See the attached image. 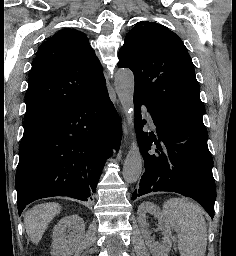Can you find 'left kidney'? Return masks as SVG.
Wrapping results in <instances>:
<instances>
[{
    "label": "left kidney",
    "mask_w": 236,
    "mask_h": 256,
    "mask_svg": "<svg viewBox=\"0 0 236 256\" xmlns=\"http://www.w3.org/2000/svg\"><path fill=\"white\" fill-rule=\"evenodd\" d=\"M147 212H150V214H153L155 218H158V230H161L164 236L162 244L154 242L153 238H151L148 232L149 224L146 222ZM137 222L143 234L146 246L149 248L150 252H152V256H168L172 246V234L170 226L165 218V214L161 212L160 208L155 206V204H152V202H143V204H141V206L138 208Z\"/></svg>",
    "instance_id": "1"
}]
</instances>
